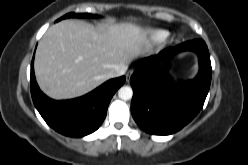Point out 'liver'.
Returning a JSON list of instances; mask_svg holds the SVG:
<instances>
[{
    "label": "liver",
    "instance_id": "obj_1",
    "mask_svg": "<svg viewBox=\"0 0 248 165\" xmlns=\"http://www.w3.org/2000/svg\"><path fill=\"white\" fill-rule=\"evenodd\" d=\"M150 47L145 30L131 23L95 28L79 20H63L39 41L36 79L53 99L79 97L104 83L115 67L127 66Z\"/></svg>",
    "mask_w": 248,
    "mask_h": 165
}]
</instances>
